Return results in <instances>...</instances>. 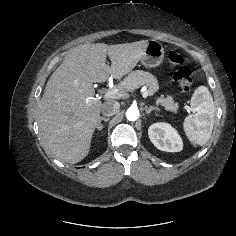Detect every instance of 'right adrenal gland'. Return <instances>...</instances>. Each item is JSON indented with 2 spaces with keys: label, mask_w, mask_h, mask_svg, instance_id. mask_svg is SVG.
<instances>
[{
  "label": "right adrenal gland",
  "mask_w": 236,
  "mask_h": 236,
  "mask_svg": "<svg viewBox=\"0 0 236 236\" xmlns=\"http://www.w3.org/2000/svg\"><path fill=\"white\" fill-rule=\"evenodd\" d=\"M110 120V118H105V117H100L99 118V120H98V123H97V129L98 130H102L103 129V125H102V121H104V122H107V121H109Z\"/></svg>",
  "instance_id": "right-adrenal-gland-1"
}]
</instances>
